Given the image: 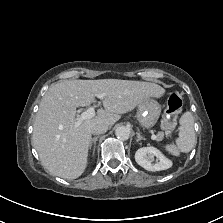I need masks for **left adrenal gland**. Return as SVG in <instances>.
Here are the masks:
<instances>
[{"mask_svg":"<svg viewBox=\"0 0 223 223\" xmlns=\"http://www.w3.org/2000/svg\"><path fill=\"white\" fill-rule=\"evenodd\" d=\"M141 140H145L143 136H141L140 132H137V142H140Z\"/></svg>","mask_w":223,"mask_h":223,"instance_id":"a2214340","label":"left adrenal gland"}]
</instances>
